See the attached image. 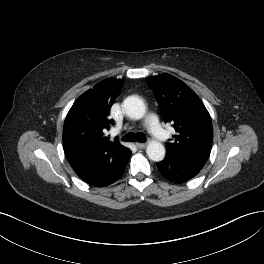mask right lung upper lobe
I'll return each instance as SVG.
<instances>
[{
	"mask_svg": "<svg viewBox=\"0 0 264 264\" xmlns=\"http://www.w3.org/2000/svg\"><path fill=\"white\" fill-rule=\"evenodd\" d=\"M123 84V79H105L75 101L63 128V148L70 162L124 155L126 148L118 140L110 142L104 134L113 123L110 108Z\"/></svg>",
	"mask_w": 264,
	"mask_h": 264,
	"instance_id": "cb5924a9",
	"label": "right lung upper lobe"
}]
</instances>
